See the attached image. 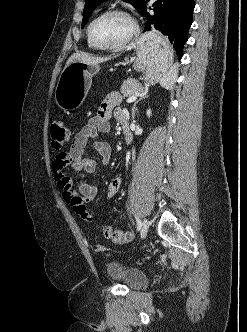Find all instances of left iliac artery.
<instances>
[{"label":"left iliac artery","mask_w":247,"mask_h":332,"mask_svg":"<svg viewBox=\"0 0 247 332\" xmlns=\"http://www.w3.org/2000/svg\"><path fill=\"white\" fill-rule=\"evenodd\" d=\"M135 218H136V221H137V230H140L141 227H142L141 220L138 217H135Z\"/></svg>","instance_id":"obj_1"}]
</instances>
